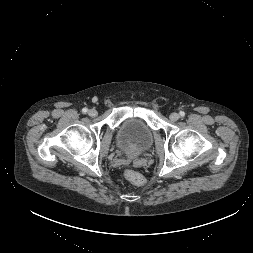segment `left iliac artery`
Listing matches in <instances>:
<instances>
[{
    "label": "left iliac artery",
    "instance_id": "1",
    "mask_svg": "<svg viewBox=\"0 0 253 253\" xmlns=\"http://www.w3.org/2000/svg\"><path fill=\"white\" fill-rule=\"evenodd\" d=\"M179 114H180L181 117L185 116V112L184 111H180Z\"/></svg>",
    "mask_w": 253,
    "mask_h": 253
}]
</instances>
